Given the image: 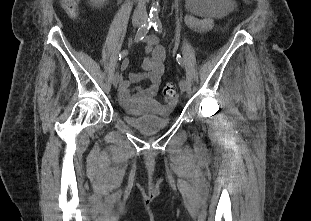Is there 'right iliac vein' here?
<instances>
[{"label": "right iliac vein", "instance_id": "obj_1", "mask_svg": "<svg viewBox=\"0 0 311 221\" xmlns=\"http://www.w3.org/2000/svg\"><path fill=\"white\" fill-rule=\"evenodd\" d=\"M141 24H142V22L139 21V20H136V21L133 22V26H134V27H139V26H141ZM119 81H120V77H119L118 73H115L114 76H113V78H112V83H113V85H114L115 87H117Z\"/></svg>", "mask_w": 311, "mask_h": 221}]
</instances>
